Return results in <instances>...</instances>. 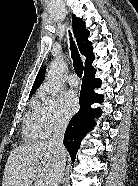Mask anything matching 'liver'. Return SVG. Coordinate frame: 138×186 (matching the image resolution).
Here are the masks:
<instances>
[{
    "label": "liver",
    "mask_w": 138,
    "mask_h": 186,
    "mask_svg": "<svg viewBox=\"0 0 138 186\" xmlns=\"http://www.w3.org/2000/svg\"><path fill=\"white\" fill-rule=\"evenodd\" d=\"M55 158L56 151L47 142H31L16 147L6 162L2 186H31L35 179L47 186Z\"/></svg>",
    "instance_id": "6515ba94"
}]
</instances>
